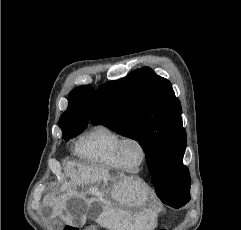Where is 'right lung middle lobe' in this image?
<instances>
[{
	"instance_id": "obj_1",
	"label": "right lung middle lobe",
	"mask_w": 241,
	"mask_h": 230,
	"mask_svg": "<svg viewBox=\"0 0 241 230\" xmlns=\"http://www.w3.org/2000/svg\"><path fill=\"white\" fill-rule=\"evenodd\" d=\"M84 128H67V129H62L63 132V138L67 141L70 138L76 137L79 135Z\"/></svg>"
}]
</instances>
